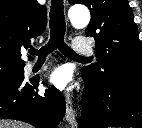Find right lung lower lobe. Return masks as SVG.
Listing matches in <instances>:
<instances>
[{"label":"right lung lower lobe","mask_w":142,"mask_h":128,"mask_svg":"<svg viewBox=\"0 0 142 128\" xmlns=\"http://www.w3.org/2000/svg\"><path fill=\"white\" fill-rule=\"evenodd\" d=\"M39 78L22 79L0 89V119L20 120L40 128H57L66 112L65 100L57 89L38 94Z\"/></svg>","instance_id":"obj_1"}]
</instances>
